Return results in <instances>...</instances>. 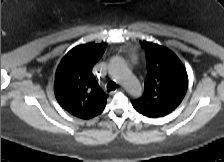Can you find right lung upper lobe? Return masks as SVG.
I'll return each mask as SVG.
<instances>
[{"instance_id": "cb5924a9", "label": "right lung upper lobe", "mask_w": 224, "mask_h": 162, "mask_svg": "<svg viewBox=\"0 0 224 162\" xmlns=\"http://www.w3.org/2000/svg\"><path fill=\"white\" fill-rule=\"evenodd\" d=\"M106 43H88L71 49L55 75L54 92L59 104L72 115L90 119L106 106L107 95L98 85L92 68L102 57Z\"/></svg>"}]
</instances>
